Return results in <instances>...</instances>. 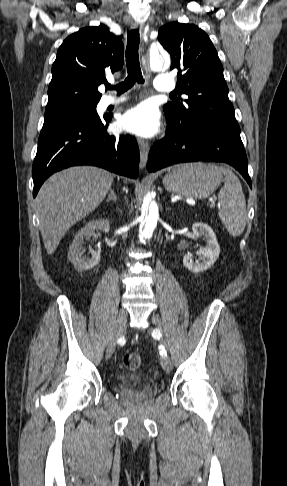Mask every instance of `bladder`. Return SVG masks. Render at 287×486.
<instances>
[{"instance_id":"obj_1","label":"bladder","mask_w":287,"mask_h":486,"mask_svg":"<svg viewBox=\"0 0 287 486\" xmlns=\"http://www.w3.org/2000/svg\"><path fill=\"white\" fill-rule=\"evenodd\" d=\"M118 382L120 385L142 384L146 383L147 379L138 374H127L119 377Z\"/></svg>"}]
</instances>
